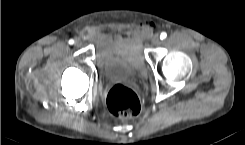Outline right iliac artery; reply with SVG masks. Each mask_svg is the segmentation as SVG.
Wrapping results in <instances>:
<instances>
[{
  "label": "right iliac artery",
  "instance_id": "1",
  "mask_svg": "<svg viewBox=\"0 0 245 145\" xmlns=\"http://www.w3.org/2000/svg\"><path fill=\"white\" fill-rule=\"evenodd\" d=\"M73 43H74V40H73V39H70V40H69V44L72 45Z\"/></svg>",
  "mask_w": 245,
  "mask_h": 145
}]
</instances>
